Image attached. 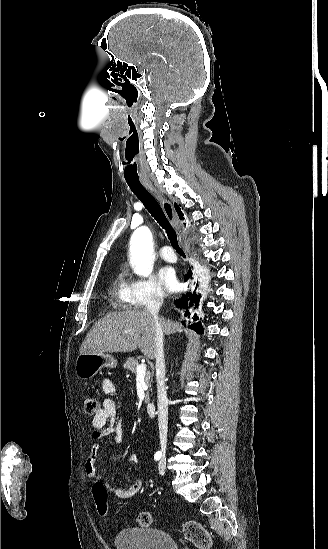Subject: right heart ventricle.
Instances as JSON below:
<instances>
[{"mask_svg": "<svg viewBox=\"0 0 328 549\" xmlns=\"http://www.w3.org/2000/svg\"><path fill=\"white\" fill-rule=\"evenodd\" d=\"M110 303H129V310L131 303H140L132 290L131 282L122 273L117 274L112 281Z\"/></svg>", "mask_w": 328, "mask_h": 549, "instance_id": "e07e8e85", "label": "right heart ventricle"}]
</instances>
